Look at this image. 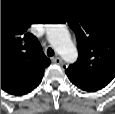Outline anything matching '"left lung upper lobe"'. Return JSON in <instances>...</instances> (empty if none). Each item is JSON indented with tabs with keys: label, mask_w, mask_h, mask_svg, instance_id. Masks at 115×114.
Wrapping results in <instances>:
<instances>
[{
	"label": "left lung upper lobe",
	"mask_w": 115,
	"mask_h": 114,
	"mask_svg": "<svg viewBox=\"0 0 115 114\" xmlns=\"http://www.w3.org/2000/svg\"><path fill=\"white\" fill-rule=\"evenodd\" d=\"M68 23L76 34L79 56L65 73L78 88H104L115 77V17L88 13Z\"/></svg>",
	"instance_id": "left-lung-upper-lobe-1"
}]
</instances>
